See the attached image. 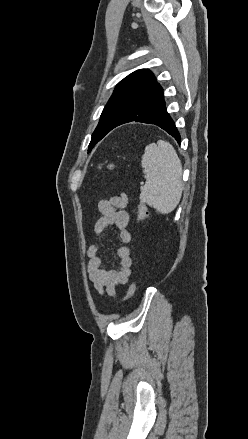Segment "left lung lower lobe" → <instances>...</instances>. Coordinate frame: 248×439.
I'll return each instance as SVG.
<instances>
[{"mask_svg": "<svg viewBox=\"0 0 248 439\" xmlns=\"http://www.w3.org/2000/svg\"><path fill=\"white\" fill-rule=\"evenodd\" d=\"M128 122H141L157 125L172 135L179 144L181 143L180 134L165 107L163 89L158 83L116 125V127Z\"/></svg>", "mask_w": 248, "mask_h": 439, "instance_id": "0a47b994", "label": "left lung lower lobe"}]
</instances>
